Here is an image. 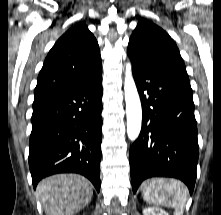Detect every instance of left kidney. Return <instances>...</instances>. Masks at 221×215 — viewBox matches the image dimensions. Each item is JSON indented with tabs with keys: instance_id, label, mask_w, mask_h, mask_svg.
Segmentation results:
<instances>
[{
	"instance_id": "1",
	"label": "left kidney",
	"mask_w": 221,
	"mask_h": 215,
	"mask_svg": "<svg viewBox=\"0 0 221 215\" xmlns=\"http://www.w3.org/2000/svg\"><path fill=\"white\" fill-rule=\"evenodd\" d=\"M143 215H169V214L160 208L149 207L143 210Z\"/></svg>"
}]
</instances>
